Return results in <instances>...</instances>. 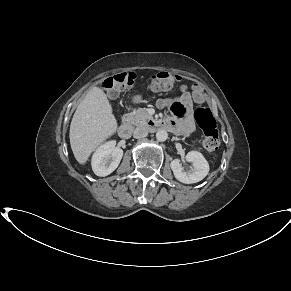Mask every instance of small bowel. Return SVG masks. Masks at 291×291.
Wrapping results in <instances>:
<instances>
[{"mask_svg": "<svg viewBox=\"0 0 291 291\" xmlns=\"http://www.w3.org/2000/svg\"><path fill=\"white\" fill-rule=\"evenodd\" d=\"M181 91L182 93L179 97L159 99L157 105L160 108L171 107L173 113L179 117L178 119L169 117L164 120V124L168 130H172L179 134L191 135L194 131V123L189 114L191 98L186 86H182ZM176 105L182 108V113L177 112L175 109Z\"/></svg>", "mask_w": 291, "mask_h": 291, "instance_id": "c3829d8e", "label": "small bowel"}]
</instances>
